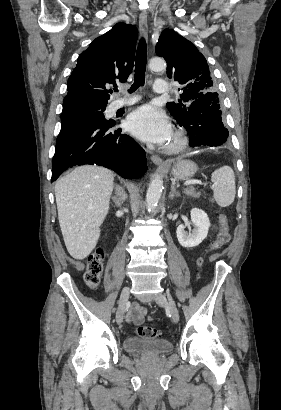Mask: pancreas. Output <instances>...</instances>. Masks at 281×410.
<instances>
[{
    "mask_svg": "<svg viewBox=\"0 0 281 410\" xmlns=\"http://www.w3.org/2000/svg\"><path fill=\"white\" fill-rule=\"evenodd\" d=\"M186 195L191 196L193 198H199L201 193L197 192L196 189L192 186H189L187 188L184 189L183 191Z\"/></svg>",
    "mask_w": 281,
    "mask_h": 410,
    "instance_id": "cf45deb5",
    "label": "pancreas"
}]
</instances>
